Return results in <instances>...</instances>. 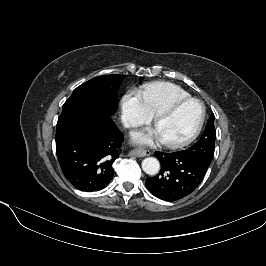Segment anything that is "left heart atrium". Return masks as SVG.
I'll return each mask as SVG.
<instances>
[{
	"label": "left heart atrium",
	"instance_id": "39dd6f15",
	"mask_svg": "<svg viewBox=\"0 0 266 266\" xmlns=\"http://www.w3.org/2000/svg\"><path fill=\"white\" fill-rule=\"evenodd\" d=\"M133 138L136 142H140V143H151L154 139H160L157 132H154L150 135L139 132V133H135L133 135Z\"/></svg>",
	"mask_w": 266,
	"mask_h": 266
}]
</instances>
